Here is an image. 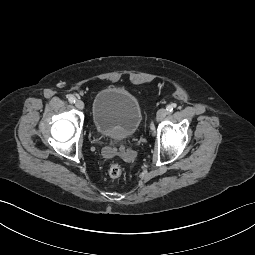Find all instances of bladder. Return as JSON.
<instances>
[{"instance_id": "31cf9c89", "label": "bladder", "mask_w": 255, "mask_h": 255, "mask_svg": "<svg viewBox=\"0 0 255 255\" xmlns=\"http://www.w3.org/2000/svg\"><path fill=\"white\" fill-rule=\"evenodd\" d=\"M92 119L95 130L102 136L124 140L139 128L142 110L132 93L122 88L108 87L95 95Z\"/></svg>"}]
</instances>
